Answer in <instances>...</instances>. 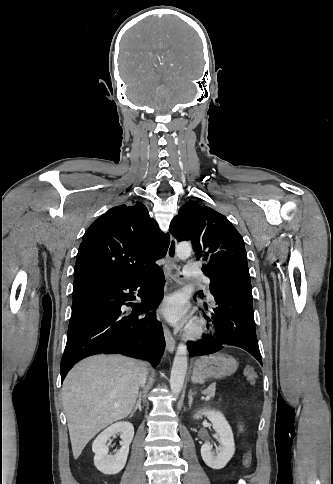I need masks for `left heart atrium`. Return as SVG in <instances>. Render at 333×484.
<instances>
[{
  "instance_id": "39dd6f15",
  "label": "left heart atrium",
  "mask_w": 333,
  "mask_h": 484,
  "mask_svg": "<svg viewBox=\"0 0 333 484\" xmlns=\"http://www.w3.org/2000/svg\"><path fill=\"white\" fill-rule=\"evenodd\" d=\"M159 313L174 324L186 323L190 316L186 300L177 293L164 300L159 308Z\"/></svg>"
}]
</instances>
